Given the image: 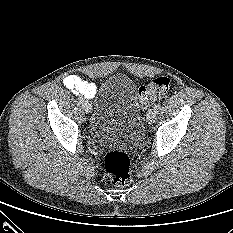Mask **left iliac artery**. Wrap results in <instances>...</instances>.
I'll return each instance as SVG.
<instances>
[{"label": "left iliac artery", "mask_w": 233, "mask_h": 233, "mask_svg": "<svg viewBox=\"0 0 233 233\" xmlns=\"http://www.w3.org/2000/svg\"><path fill=\"white\" fill-rule=\"evenodd\" d=\"M160 106H161V105H160L159 103H158V104H155V105H154V109H155V110H159V109H160Z\"/></svg>", "instance_id": "44dca946"}]
</instances>
